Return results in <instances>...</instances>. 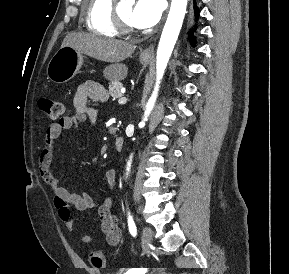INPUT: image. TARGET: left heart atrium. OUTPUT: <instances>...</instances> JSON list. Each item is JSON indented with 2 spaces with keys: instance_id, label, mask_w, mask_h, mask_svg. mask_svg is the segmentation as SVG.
Wrapping results in <instances>:
<instances>
[{
  "instance_id": "39dd6f15",
  "label": "left heart atrium",
  "mask_w": 289,
  "mask_h": 274,
  "mask_svg": "<svg viewBox=\"0 0 289 274\" xmlns=\"http://www.w3.org/2000/svg\"><path fill=\"white\" fill-rule=\"evenodd\" d=\"M162 0H138L131 13V23L138 28H148L160 19Z\"/></svg>"
}]
</instances>
